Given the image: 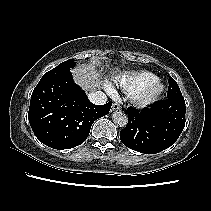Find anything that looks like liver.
<instances>
[{
	"label": "liver",
	"instance_id": "1",
	"mask_svg": "<svg viewBox=\"0 0 211 211\" xmlns=\"http://www.w3.org/2000/svg\"><path fill=\"white\" fill-rule=\"evenodd\" d=\"M74 81L86 91H94L102 84L100 80V73L97 72L95 66L92 64L88 66H80L72 71Z\"/></svg>",
	"mask_w": 211,
	"mask_h": 211
}]
</instances>
